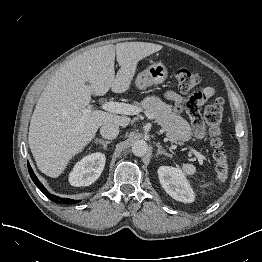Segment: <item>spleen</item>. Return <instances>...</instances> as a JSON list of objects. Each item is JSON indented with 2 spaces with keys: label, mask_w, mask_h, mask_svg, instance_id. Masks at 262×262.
<instances>
[{
  "label": "spleen",
  "mask_w": 262,
  "mask_h": 262,
  "mask_svg": "<svg viewBox=\"0 0 262 262\" xmlns=\"http://www.w3.org/2000/svg\"><path fill=\"white\" fill-rule=\"evenodd\" d=\"M182 170L185 174L187 175H193L196 173V167L192 164H183L182 165Z\"/></svg>",
  "instance_id": "obj_1"
}]
</instances>
